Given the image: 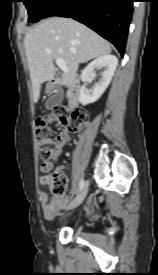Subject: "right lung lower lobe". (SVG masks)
I'll list each match as a JSON object with an SVG mask.
<instances>
[{"label":"right lung lower lobe","instance_id":"obj_1","mask_svg":"<svg viewBox=\"0 0 158 275\" xmlns=\"http://www.w3.org/2000/svg\"><path fill=\"white\" fill-rule=\"evenodd\" d=\"M134 0H58L44 15L71 17L93 29L124 54Z\"/></svg>","mask_w":158,"mask_h":275}]
</instances>
